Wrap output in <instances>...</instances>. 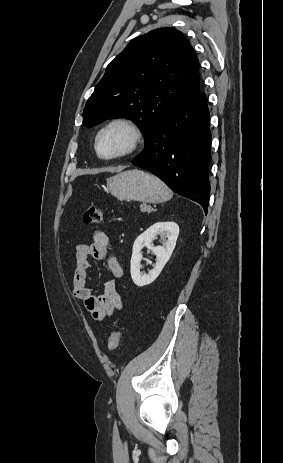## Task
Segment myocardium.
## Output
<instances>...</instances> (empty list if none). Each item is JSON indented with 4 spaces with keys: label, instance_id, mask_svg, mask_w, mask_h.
Instances as JSON below:
<instances>
[{
    "label": "myocardium",
    "instance_id": "f54148a6",
    "mask_svg": "<svg viewBox=\"0 0 283 463\" xmlns=\"http://www.w3.org/2000/svg\"><path fill=\"white\" fill-rule=\"evenodd\" d=\"M115 127H121L128 132L129 142L127 146L123 150L119 151L118 153H115L110 156H102L99 153V149H98L99 140L105 132ZM142 141H143V133L139 125L135 121L129 118L119 117V118H114L108 121L97 131L95 135V139H94V150H95L96 155L102 160H107V161L116 160V159L129 156L133 154L134 152H136L138 148L140 147V145L142 144Z\"/></svg>",
    "mask_w": 283,
    "mask_h": 463
}]
</instances>
